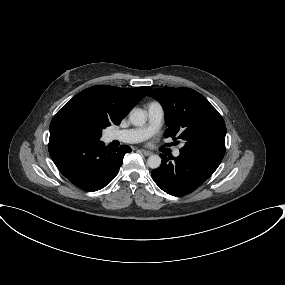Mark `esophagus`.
I'll return each mask as SVG.
<instances>
[{"instance_id": "obj_1", "label": "esophagus", "mask_w": 285, "mask_h": 285, "mask_svg": "<svg viewBox=\"0 0 285 285\" xmlns=\"http://www.w3.org/2000/svg\"><path fill=\"white\" fill-rule=\"evenodd\" d=\"M141 152H142V154H144L145 156H151V155L153 154L151 151L144 150V149H142Z\"/></svg>"}]
</instances>
